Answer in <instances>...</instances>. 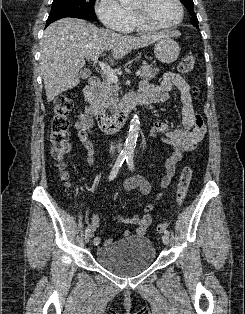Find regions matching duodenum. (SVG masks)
<instances>
[{"label":"duodenum","instance_id":"410a0bca","mask_svg":"<svg viewBox=\"0 0 245 314\" xmlns=\"http://www.w3.org/2000/svg\"><path fill=\"white\" fill-rule=\"evenodd\" d=\"M100 78L97 75H92L89 77L88 84L83 89V100L87 107V112L96 119L99 129L104 133H109L121 129L131 111L140 102L145 101L142 94H130L125 96L113 116H105L100 107L97 105L94 92L100 86Z\"/></svg>","mask_w":245,"mask_h":314}]
</instances>
